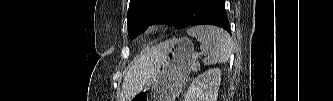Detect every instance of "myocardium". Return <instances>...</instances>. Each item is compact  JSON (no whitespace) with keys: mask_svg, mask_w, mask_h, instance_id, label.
<instances>
[{"mask_svg":"<svg viewBox=\"0 0 333 101\" xmlns=\"http://www.w3.org/2000/svg\"><path fill=\"white\" fill-rule=\"evenodd\" d=\"M158 27H159L158 24H152V25H150V26H148V27L146 28V31H145V32H146L147 34H150V33L154 32L155 30H157Z\"/></svg>","mask_w":333,"mask_h":101,"instance_id":"1","label":"myocardium"}]
</instances>
